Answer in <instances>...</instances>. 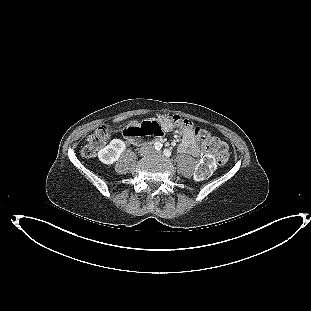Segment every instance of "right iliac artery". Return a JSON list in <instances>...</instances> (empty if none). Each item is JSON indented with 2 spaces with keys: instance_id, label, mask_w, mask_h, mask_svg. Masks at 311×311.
<instances>
[{
  "instance_id": "obj_1",
  "label": "right iliac artery",
  "mask_w": 311,
  "mask_h": 311,
  "mask_svg": "<svg viewBox=\"0 0 311 311\" xmlns=\"http://www.w3.org/2000/svg\"><path fill=\"white\" fill-rule=\"evenodd\" d=\"M162 146H163V145H162L160 142H156V143L154 144L155 149L158 150V151L162 148Z\"/></svg>"
}]
</instances>
